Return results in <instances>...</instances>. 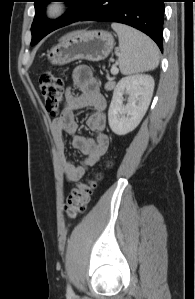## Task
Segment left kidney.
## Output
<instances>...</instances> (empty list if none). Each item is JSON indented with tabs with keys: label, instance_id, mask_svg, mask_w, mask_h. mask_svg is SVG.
I'll return each mask as SVG.
<instances>
[{
	"label": "left kidney",
	"instance_id": "left-kidney-1",
	"mask_svg": "<svg viewBox=\"0 0 195 299\" xmlns=\"http://www.w3.org/2000/svg\"><path fill=\"white\" fill-rule=\"evenodd\" d=\"M154 90V79L150 75L137 74L122 78L113 92L108 111L111 130L119 136L133 131L144 117ZM129 96L123 105V95Z\"/></svg>",
	"mask_w": 195,
	"mask_h": 299
}]
</instances>
